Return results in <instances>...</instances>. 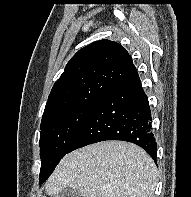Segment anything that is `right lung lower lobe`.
<instances>
[{
  "instance_id": "right-lung-lower-lobe-1",
  "label": "right lung lower lobe",
  "mask_w": 191,
  "mask_h": 197,
  "mask_svg": "<svg viewBox=\"0 0 191 197\" xmlns=\"http://www.w3.org/2000/svg\"><path fill=\"white\" fill-rule=\"evenodd\" d=\"M151 121L148 98L137 75L112 87L95 104L67 153L100 141L122 140L142 147L156 162Z\"/></svg>"
}]
</instances>
